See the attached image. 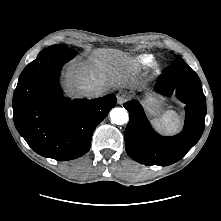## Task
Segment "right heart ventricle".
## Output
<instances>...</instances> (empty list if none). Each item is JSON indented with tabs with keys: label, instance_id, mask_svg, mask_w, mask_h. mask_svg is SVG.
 Segmentation results:
<instances>
[{
	"label": "right heart ventricle",
	"instance_id": "e07e8e85",
	"mask_svg": "<svg viewBox=\"0 0 221 221\" xmlns=\"http://www.w3.org/2000/svg\"><path fill=\"white\" fill-rule=\"evenodd\" d=\"M151 60V56L149 54H140L133 59V63L137 66L146 65Z\"/></svg>",
	"mask_w": 221,
	"mask_h": 221
}]
</instances>
